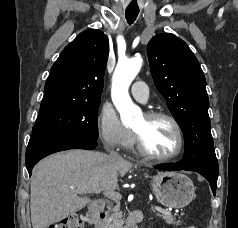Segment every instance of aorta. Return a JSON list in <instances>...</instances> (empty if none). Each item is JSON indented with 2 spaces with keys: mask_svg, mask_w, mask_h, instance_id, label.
Returning <instances> with one entry per match:
<instances>
[{
  "mask_svg": "<svg viewBox=\"0 0 238 228\" xmlns=\"http://www.w3.org/2000/svg\"><path fill=\"white\" fill-rule=\"evenodd\" d=\"M142 62L140 56L119 61L113 74L111 97L124 125H128L140 113V109L133 104L128 89L140 71Z\"/></svg>",
  "mask_w": 238,
  "mask_h": 228,
  "instance_id": "1",
  "label": "aorta"
}]
</instances>
